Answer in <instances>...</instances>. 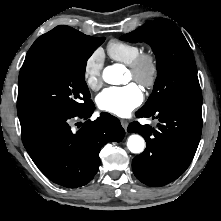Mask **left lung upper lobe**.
I'll use <instances>...</instances> for the list:
<instances>
[{"label":"left lung upper lobe","mask_w":221,"mask_h":221,"mask_svg":"<svg viewBox=\"0 0 221 221\" xmlns=\"http://www.w3.org/2000/svg\"><path fill=\"white\" fill-rule=\"evenodd\" d=\"M120 39L146 42L156 55L158 75L144 108L161 101L202 106L194 56L174 22L165 18L155 19Z\"/></svg>","instance_id":"1"}]
</instances>
